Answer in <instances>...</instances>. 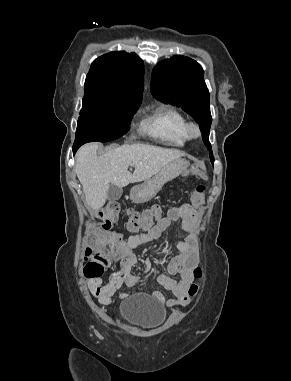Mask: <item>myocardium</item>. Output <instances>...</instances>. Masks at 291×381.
I'll return each mask as SVG.
<instances>
[{
	"mask_svg": "<svg viewBox=\"0 0 291 381\" xmlns=\"http://www.w3.org/2000/svg\"><path fill=\"white\" fill-rule=\"evenodd\" d=\"M189 133L191 135V137H199L200 135V129H199V126L195 123H191L189 124Z\"/></svg>",
	"mask_w": 291,
	"mask_h": 381,
	"instance_id": "obj_1",
	"label": "myocardium"
}]
</instances>
